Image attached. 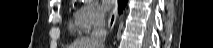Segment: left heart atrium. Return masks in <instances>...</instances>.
<instances>
[{
	"instance_id": "obj_1",
	"label": "left heart atrium",
	"mask_w": 213,
	"mask_h": 48,
	"mask_svg": "<svg viewBox=\"0 0 213 48\" xmlns=\"http://www.w3.org/2000/svg\"><path fill=\"white\" fill-rule=\"evenodd\" d=\"M114 1L112 0H103L101 3V9L103 11H108L112 8Z\"/></svg>"
}]
</instances>
